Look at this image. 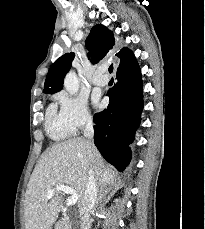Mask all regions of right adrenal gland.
Here are the masks:
<instances>
[{"mask_svg":"<svg viewBox=\"0 0 205 229\" xmlns=\"http://www.w3.org/2000/svg\"><path fill=\"white\" fill-rule=\"evenodd\" d=\"M111 188H102L99 190L98 194V202L102 200V198L110 191Z\"/></svg>","mask_w":205,"mask_h":229,"instance_id":"obj_1","label":"right adrenal gland"}]
</instances>
